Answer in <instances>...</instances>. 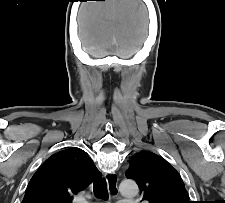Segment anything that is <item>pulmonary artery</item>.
Instances as JSON below:
<instances>
[{
  "label": "pulmonary artery",
  "mask_w": 225,
  "mask_h": 203,
  "mask_svg": "<svg viewBox=\"0 0 225 203\" xmlns=\"http://www.w3.org/2000/svg\"><path fill=\"white\" fill-rule=\"evenodd\" d=\"M119 203H134L132 200H121Z\"/></svg>",
  "instance_id": "e3ab8cb5"
}]
</instances>
